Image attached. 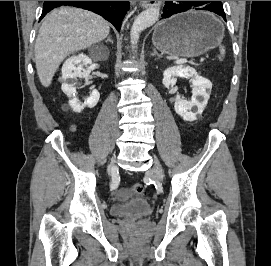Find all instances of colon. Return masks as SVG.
Segmentation results:
<instances>
[{
  "label": "colon",
  "instance_id": "1",
  "mask_svg": "<svg viewBox=\"0 0 271 266\" xmlns=\"http://www.w3.org/2000/svg\"><path fill=\"white\" fill-rule=\"evenodd\" d=\"M132 191L137 196H144L145 195V188L141 183H135L132 185Z\"/></svg>",
  "mask_w": 271,
  "mask_h": 266
}]
</instances>
